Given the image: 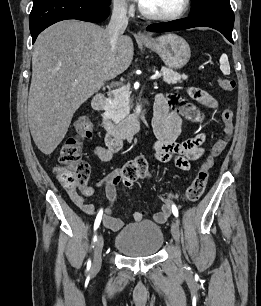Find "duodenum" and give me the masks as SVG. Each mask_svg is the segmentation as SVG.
<instances>
[{
	"mask_svg": "<svg viewBox=\"0 0 261 306\" xmlns=\"http://www.w3.org/2000/svg\"><path fill=\"white\" fill-rule=\"evenodd\" d=\"M92 108L101 113L102 124L107 134L116 138L126 139L135 134L140 128L137 117H129L122 121H113L105 115L106 98L104 94L97 93L91 101Z\"/></svg>",
	"mask_w": 261,
	"mask_h": 306,
	"instance_id": "duodenum-1",
	"label": "duodenum"
}]
</instances>
